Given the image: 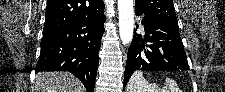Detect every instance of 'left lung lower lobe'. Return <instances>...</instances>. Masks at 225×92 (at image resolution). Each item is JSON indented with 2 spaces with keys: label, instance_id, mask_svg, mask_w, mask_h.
<instances>
[{
  "label": "left lung lower lobe",
  "instance_id": "obj_1",
  "mask_svg": "<svg viewBox=\"0 0 225 92\" xmlns=\"http://www.w3.org/2000/svg\"><path fill=\"white\" fill-rule=\"evenodd\" d=\"M136 15L141 13L136 12ZM145 35L134 33L128 50L124 73V87L136 70H188L189 65L177 26L165 22L142 19Z\"/></svg>",
  "mask_w": 225,
  "mask_h": 92
}]
</instances>
